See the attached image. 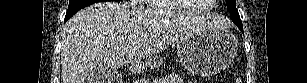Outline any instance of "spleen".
Instances as JSON below:
<instances>
[{
  "label": "spleen",
  "instance_id": "1",
  "mask_svg": "<svg viewBox=\"0 0 307 83\" xmlns=\"http://www.w3.org/2000/svg\"><path fill=\"white\" fill-rule=\"evenodd\" d=\"M237 83H241V80L237 81Z\"/></svg>",
  "mask_w": 307,
  "mask_h": 83
}]
</instances>
